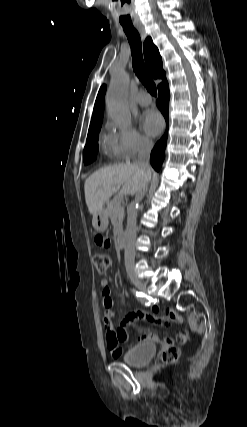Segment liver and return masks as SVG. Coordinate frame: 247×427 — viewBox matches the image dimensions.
<instances>
[{
  "instance_id": "1",
  "label": "liver",
  "mask_w": 247,
  "mask_h": 427,
  "mask_svg": "<svg viewBox=\"0 0 247 427\" xmlns=\"http://www.w3.org/2000/svg\"><path fill=\"white\" fill-rule=\"evenodd\" d=\"M146 178L145 172L136 163H120L101 168L90 175L84 185L88 211L93 217L98 214L114 193L122 186L121 192L134 195Z\"/></svg>"
}]
</instances>
